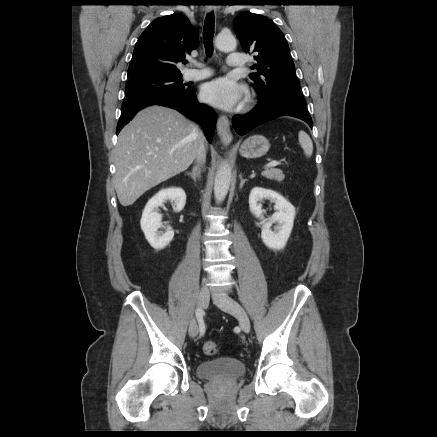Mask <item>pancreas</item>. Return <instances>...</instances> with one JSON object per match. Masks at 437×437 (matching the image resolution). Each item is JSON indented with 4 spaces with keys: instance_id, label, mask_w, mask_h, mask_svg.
I'll use <instances>...</instances> for the list:
<instances>
[{
    "instance_id": "cf45deb5",
    "label": "pancreas",
    "mask_w": 437,
    "mask_h": 437,
    "mask_svg": "<svg viewBox=\"0 0 437 437\" xmlns=\"http://www.w3.org/2000/svg\"><path fill=\"white\" fill-rule=\"evenodd\" d=\"M262 175L268 179L276 180L278 182H281L285 178V175L280 169H266L262 172Z\"/></svg>"
}]
</instances>
